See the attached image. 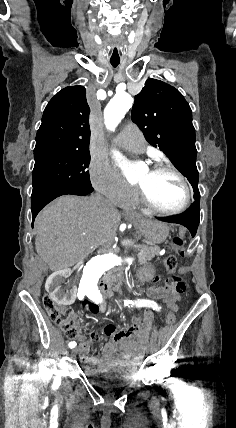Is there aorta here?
Returning <instances> with one entry per match:
<instances>
[{"instance_id": "aorta-1", "label": "aorta", "mask_w": 236, "mask_h": 428, "mask_svg": "<svg viewBox=\"0 0 236 428\" xmlns=\"http://www.w3.org/2000/svg\"><path fill=\"white\" fill-rule=\"evenodd\" d=\"M132 104L133 98L128 93L116 94L104 110V122L107 129L114 131L127 111L132 107ZM114 153L116 158L120 159L122 157L119 152ZM129 177H134V172L132 170H129ZM121 262L131 264L132 259L125 258L123 260L114 253H107L91 258L83 268V274L80 280L82 292L87 296L100 294L98 289L100 278L106 271L114 268Z\"/></svg>"}]
</instances>
